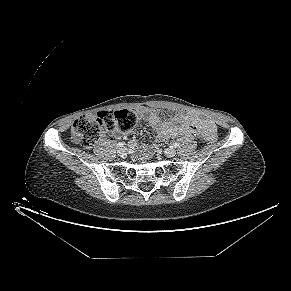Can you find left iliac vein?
I'll list each match as a JSON object with an SVG mask.
<instances>
[{
    "label": "left iliac vein",
    "instance_id": "1",
    "mask_svg": "<svg viewBox=\"0 0 291 291\" xmlns=\"http://www.w3.org/2000/svg\"><path fill=\"white\" fill-rule=\"evenodd\" d=\"M164 152L168 157H173L176 155V150L172 147L166 148Z\"/></svg>",
    "mask_w": 291,
    "mask_h": 291
}]
</instances>
